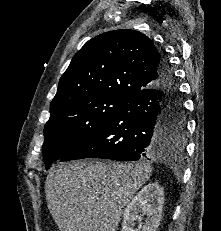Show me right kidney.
Returning a JSON list of instances; mask_svg holds the SVG:
<instances>
[{
  "label": "right kidney",
  "instance_id": "1",
  "mask_svg": "<svg viewBox=\"0 0 221 231\" xmlns=\"http://www.w3.org/2000/svg\"><path fill=\"white\" fill-rule=\"evenodd\" d=\"M164 190L157 183H149L127 205L121 231H156L162 219ZM147 218L142 223L143 216ZM135 221L139 222L134 228Z\"/></svg>",
  "mask_w": 221,
  "mask_h": 231
}]
</instances>
